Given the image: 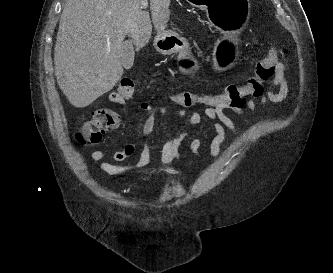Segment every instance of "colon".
Wrapping results in <instances>:
<instances>
[{"label":"colon","instance_id":"1","mask_svg":"<svg viewBox=\"0 0 333 273\" xmlns=\"http://www.w3.org/2000/svg\"><path fill=\"white\" fill-rule=\"evenodd\" d=\"M279 50L275 47L260 58L255 66L254 73L242 85H229L222 93L206 94L192 91H182L170 96V100L184 108H240L243 107L249 97H260L264 92V85L274 74L279 60ZM117 92L131 98L135 92L134 81L125 78L121 81ZM117 122L114 112L107 109L94 111L88 120L79 127L76 138L81 143H98L106 129L111 128Z\"/></svg>","mask_w":333,"mask_h":273}]
</instances>
